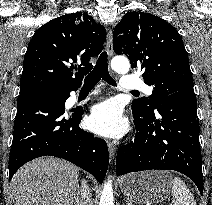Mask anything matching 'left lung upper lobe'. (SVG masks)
Here are the masks:
<instances>
[{
    "label": "left lung upper lobe",
    "mask_w": 212,
    "mask_h": 205,
    "mask_svg": "<svg viewBox=\"0 0 212 205\" xmlns=\"http://www.w3.org/2000/svg\"><path fill=\"white\" fill-rule=\"evenodd\" d=\"M113 49L125 54L133 70L142 71L153 94L132 102V110L154 111L170 94L193 90L187 52L178 31L165 20L144 12H128L114 29Z\"/></svg>",
    "instance_id": "5c2ea615"
}]
</instances>
